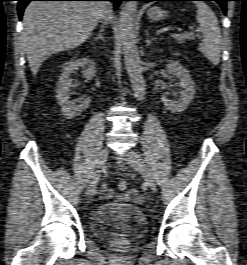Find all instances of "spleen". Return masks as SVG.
<instances>
[{"instance_id":"spleen-1","label":"spleen","mask_w":247,"mask_h":265,"mask_svg":"<svg viewBox=\"0 0 247 265\" xmlns=\"http://www.w3.org/2000/svg\"><path fill=\"white\" fill-rule=\"evenodd\" d=\"M194 3L197 7L196 20L203 35L198 49L212 64L218 65L222 50V37L218 20L205 2Z\"/></svg>"}]
</instances>
